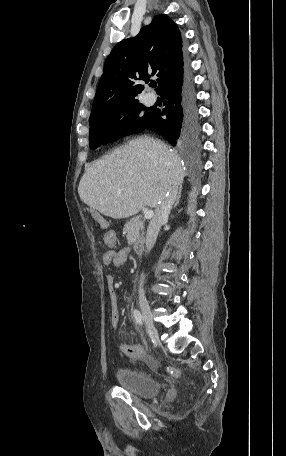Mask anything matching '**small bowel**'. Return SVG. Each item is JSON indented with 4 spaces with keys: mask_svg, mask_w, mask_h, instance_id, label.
<instances>
[{
    "mask_svg": "<svg viewBox=\"0 0 286 456\" xmlns=\"http://www.w3.org/2000/svg\"><path fill=\"white\" fill-rule=\"evenodd\" d=\"M104 242L109 247H113L116 243L115 233L108 231L104 235ZM131 255V249L126 247L118 251L110 249L106 251L103 255V263L106 266L110 267H120L129 259ZM108 294H109V303H110V312H111V323L115 329H118L120 324V311L118 305V296L114 287V278L112 275L108 274L106 276ZM120 351L130 359H138V353L143 352V347L141 345H127L122 344L120 346Z\"/></svg>",
    "mask_w": 286,
    "mask_h": 456,
    "instance_id": "obj_1",
    "label": "small bowel"
}]
</instances>
